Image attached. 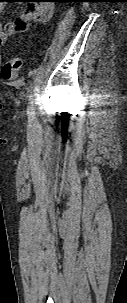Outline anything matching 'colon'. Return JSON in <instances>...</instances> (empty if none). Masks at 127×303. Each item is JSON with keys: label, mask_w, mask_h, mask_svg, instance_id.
Masks as SVG:
<instances>
[{"label": "colon", "mask_w": 127, "mask_h": 303, "mask_svg": "<svg viewBox=\"0 0 127 303\" xmlns=\"http://www.w3.org/2000/svg\"><path fill=\"white\" fill-rule=\"evenodd\" d=\"M22 61L19 58H13L5 63L2 68V78L5 80H14L19 75Z\"/></svg>", "instance_id": "5ec220e1"}]
</instances>
